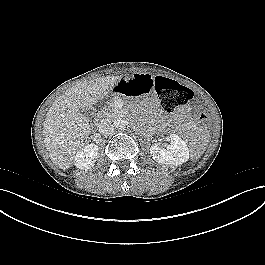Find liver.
I'll return each instance as SVG.
<instances>
[{"label": "liver", "mask_w": 265, "mask_h": 265, "mask_svg": "<svg viewBox=\"0 0 265 265\" xmlns=\"http://www.w3.org/2000/svg\"><path fill=\"white\" fill-rule=\"evenodd\" d=\"M119 80L120 76H106L77 83L52 104L43 125V141L58 168L65 170L73 165L76 153L91 133L89 119L79 110L91 109Z\"/></svg>", "instance_id": "liver-1"}]
</instances>
